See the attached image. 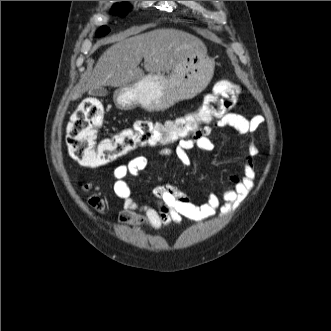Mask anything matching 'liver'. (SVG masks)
Instances as JSON below:
<instances>
[{
  "label": "liver",
  "instance_id": "obj_1",
  "mask_svg": "<svg viewBox=\"0 0 331 331\" xmlns=\"http://www.w3.org/2000/svg\"><path fill=\"white\" fill-rule=\"evenodd\" d=\"M205 44L196 36L176 29H157L127 38H117L98 59L86 84L73 97L85 91L112 86L124 87L139 80L145 73L138 66L144 58V68L149 74L164 76L184 63L186 58L206 52Z\"/></svg>",
  "mask_w": 331,
  "mask_h": 331
}]
</instances>
